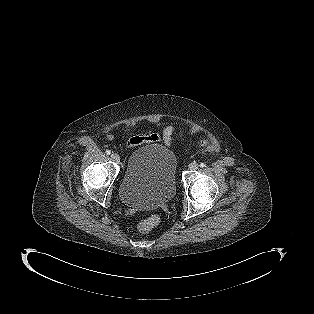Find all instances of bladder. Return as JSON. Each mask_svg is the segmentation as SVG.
<instances>
[{"label":"bladder","mask_w":314,"mask_h":314,"mask_svg":"<svg viewBox=\"0 0 314 314\" xmlns=\"http://www.w3.org/2000/svg\"><path fill=\"white\" fill-rule=\"evenodd\" d=\"M177 162L169 148L146 145L134 150L120 184L122 202L133 208H158L176 192Z\"/></svg>","instance_id":"bladder-1"}]
</instances>
